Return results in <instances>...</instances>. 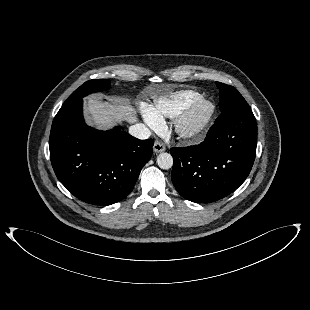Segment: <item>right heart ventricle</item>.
Instances as JSON below:
<instances>
[{
  "label": "right heart ventricle",
  "instance_id": "1",
  "mask_svg": "<svg viewBox=\"0 0 310 310\" xmlns=\"http://www.w3.org/2000/svg\"><path fill=\"white\" fill-rule=\"evenodd\" d=\"M199 97H201V95L193 90H180L172 92L157 98L153 105L149 107V112L156 115L161 120L165 117L175 118L191 102Z\"/></svg>",
  "mask_w": 310,
  "mask_h": 310
}]
</instances>
